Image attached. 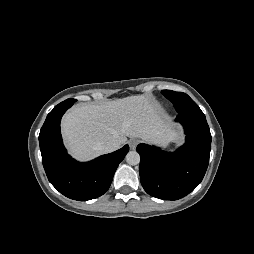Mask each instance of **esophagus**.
Wrapping results in <instances>:
<instances>
[{
  "label": "esophagus",
  "mask_w": 254,
  "mask_h": 254,
  "mask_svg": "<svg viewBox=\"0 0 254 254\" xmlns=\"http://www.w3.org/2000/svg\"><path fill=\"white\" fill-rule=\"evenodd\" d=\"M138 143H139V141L137 139H131L129 141L130 149L135 150L137 145H138Z\"/></svg>",
  "instance_id": "34e87169"
}]
</instances>
